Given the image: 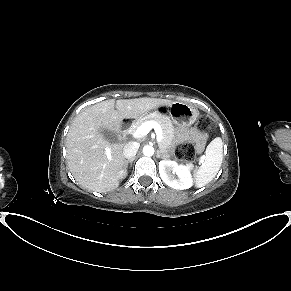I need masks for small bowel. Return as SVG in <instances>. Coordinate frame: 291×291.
Here are the masks:
<instances>
[{
  "mask_svg": "<svg viewBox=\"0 0 291 291\" xmlns=\"http://www.w3.org/2000/svg\"><path fill=\"white\" fill-rule=\"evenodd\" d=\"M191 136H192L194 139H196L199 143L202 142V139H201L200 135L197 134L196 132H192V133H191Z\"/></svg>",
  "mask_w": 291,
  "mask_h": 291,
  "instance_id": "small-bowel-1",
  "label": "small bowel"
}]
</instances>
